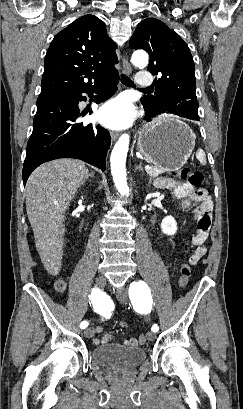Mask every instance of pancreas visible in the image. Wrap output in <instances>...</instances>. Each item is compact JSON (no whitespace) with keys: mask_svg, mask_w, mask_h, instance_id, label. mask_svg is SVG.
I'll use <instances>...</instances> for the list:
<instances>
[{"mask_svg":"<svg viewBox=\"0 0 243 409\" xmlns=\"http://www.w3.org/2000/svg\"><path fill=\"white\" fill-rule=\"evenodd\" d=\"M146 172L151 178H156L158 175L164 173L165 170L156 166H151V169L146 170Z\"/></svg>","mask_w":243,"mask_h":409,"instance_id":"1","label":"pancreas"}]
</instances>
